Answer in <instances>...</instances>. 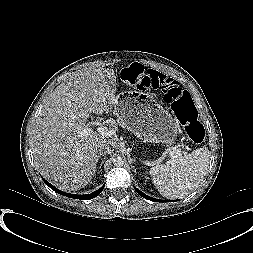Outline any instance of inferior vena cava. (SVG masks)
I'll use <instances>...</instances> for the list:
<instances>
[{
  "label": "inferior vena cava",
  "instance_id": "1",
  "mask_svg": "<svg viewBox=\"0 0 253 253\" xmlns=\"http://www.w3.org/2000/svg\"><path fill=\"white\" fill-rule=\"evenodd\" d=\"M104 149H106V151H110V152H111L110 145L105 146V148H104Z\"/></svg>",
  "mask_w": 253,
  "mask_h": 253
}]
</instances>
